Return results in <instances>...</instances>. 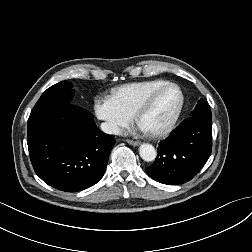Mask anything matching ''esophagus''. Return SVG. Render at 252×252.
<instances>
[{
	"label": "esophagus",
	"mask_w": 252,
	"mask_h": 252,
	"mask_svg": "<svg viewBox=\"0 0 252 252\" xmlns=\"http://www.w3.org/2000/svg\"><path fill=\"white\" fill-rule=\"evenodd\" d=\"M127 143H129L132 146H138L140 144L139 141L131 140V139H128Z\"/></svg>",
	"instance_id": "1"
}]
</instances>
